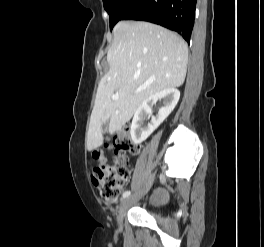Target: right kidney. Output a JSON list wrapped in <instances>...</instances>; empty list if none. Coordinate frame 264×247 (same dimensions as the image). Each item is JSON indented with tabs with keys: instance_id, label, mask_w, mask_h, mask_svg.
Here are the masks:
<instances>
[{
	"instance_id": "right-kidney-1",
	"label": "right kidney",
	"mask_w": 264,
	"mask_h": 247,
	"mask_svg": "<svg viewBox=\"0 0 264 247\" xmlns=\"http://www.w3.org/2000/svg\"><path fill=\"white\" fill-rule=\"evenodd\" d=\"M179 98V90L175 88H167L143 101L135 111L132 120L130 130L132 141L136 144L145 141L173 111ZM158 100L163 101V106L159 109L158 114L155 117L152 116L151 123L147 126H143V120L145 117L147 115H152L151 106Z\"/></svg>"
}]
</instances>
